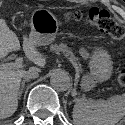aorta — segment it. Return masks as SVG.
I'll return each mask as SVG.
<instances>
[{
	"label": "aorta",
	"instance_id": "obj_1",
	"mask_svg": "<svg viewBox=\"0 0 125 125\" xmlns=\"http://www.w3.org/2000/svg\"><path fill=\"white\" fill-rule=\"evenodd\" d=\"M51 85L57 91H67L71 87V78L67 72L58 70L50 78Z\"/></svg>",
	"mask_w": 125,
	"mask_h": 125
}]
</instances>
